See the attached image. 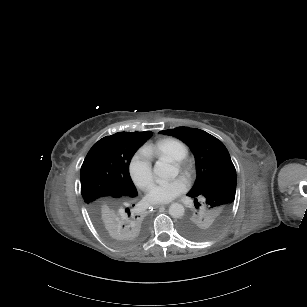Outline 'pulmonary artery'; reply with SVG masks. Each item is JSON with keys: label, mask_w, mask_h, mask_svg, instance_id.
I'll use <instances>...</instances> for the list:
<instances>
[{"label": "pulmonary artery", "mask_w": 307, "mask_h": 307, "mask_svg": "<svg viewBox=\"0 0 307 307\" xmlns=\"http://www.w3.org/2000/svg\"><path fill=\"white\" fill-rule=\"evenodd\" d=\"M161 149V146L156 148V152H158Z\"/></svg>", "instance_id": "1"}]
</instances>
